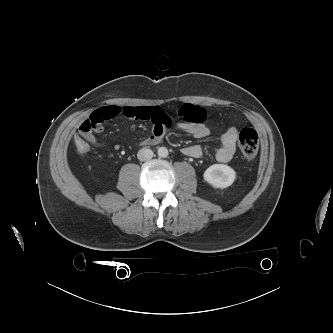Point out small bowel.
<instances>
[{
	"label": "small bowel",
	"instance_id": "obj_1",
	"mask_svg": "<svg viewBox=\"0 0 333 333\" xmlns=\"http://www.w3.org/2000/svg\"><path fill=\"white\" fill-rule=\"evenodd\" d=\"M181 121L178 128L195 138H204L209 135L205 125L206 111L202 107L184 103L178 109ZM125 118L127 120H147L153 125L152 132L143 140L145 145H156L163 140L166 131L171 126V119L160 107H119L107 106L95 110L83 121L79 127V134L92 143H96L94 134L103 130V125L108 120ZM238 131L235 127L228 128L220 138V146L215 153L216 160L222 163L229 162L236 152ZM184 155L199 158L202 153L200 145H189L182 149Z\"/></svg>",
	"mask_w": 333,
	"mask_h": 333
}]
</instances>
